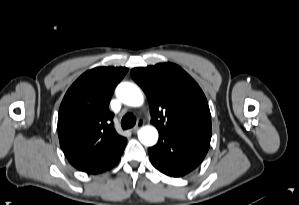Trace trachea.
<instances>
[{
  "label": "trachea",
  "instance_id": "1",
  "mask_svg": "<svg viewBox=\"0 0 299 205\" xmlns=\"http://www.w3.org/2000/svg\"><path fill=\"white\" fill-rule=\"evenodd\" d=\"M135 124L136 118L132 113H126L121 120V126L123 129L132 128Z\"/></svg>",
  "mask_w": 299,
  "mask_h": 205
}]
</instances>
